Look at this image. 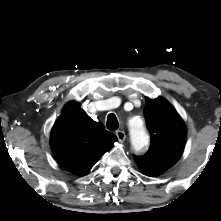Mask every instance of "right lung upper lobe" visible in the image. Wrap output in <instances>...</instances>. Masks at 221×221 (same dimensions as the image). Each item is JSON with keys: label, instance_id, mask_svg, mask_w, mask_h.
<instances>
[{"label": "right lung upper lobe", "instance_id": "1", "mask_svg": "<svg viewBox=\"0 0 221 221\" xmlns=\"http://www.w3.org/2000/svg\"><path fill=\"white\" fill-rule=\"evenodd\" d=\"M117 137L88 117L79 104L68 103L51 131L50 145L56 159L77 175L90 171L113 147Z\"/></svg>", "mask_w": 221, "mask_h": 221}]
</instances>
